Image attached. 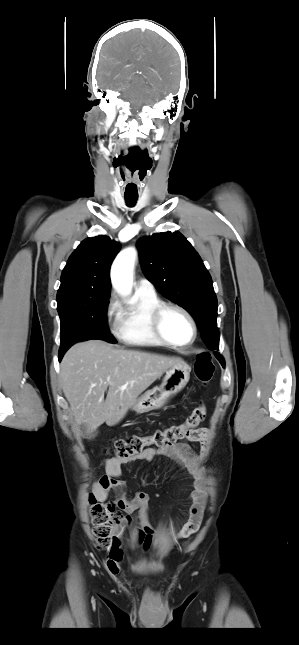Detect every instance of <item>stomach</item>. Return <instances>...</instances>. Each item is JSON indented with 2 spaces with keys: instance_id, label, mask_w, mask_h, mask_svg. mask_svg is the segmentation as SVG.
<instances>
[{
  "instance_id": "obj_1",
  "label": "stomach",
  "mask_w": 299,
  "mask_h": 645,
  "mask_svg": "<svg viewBox=\"0 0 299 645\" xmlns=\"http://www.w3.org/2000/svg\"><path fill=\"white\" fill-rule=\"evenodd\" d=\"M191 368L181 361L172 366L167 372L160 386L146 391L137 398L131 406L137 413H147L164 407L168 400L181 391L189 381Z\"/></svg>"
}]
</instances>
